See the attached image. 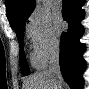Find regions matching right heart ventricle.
<instances>
[{
	"label": "right heart ventricle",
	"mask_w": 89,
	"mask_h": 89,
	"mask_svg": "<svg viewBox=\"0 0 89 89\" xmlns=\"http://www.w3.org/2000/svg\"><path fill=\"white\" fill-rule=\"evenodd\" d=\"M32 63L36 67H42L43 66V64L35 56L32 57Z\"/></svg>",
	"instance_id": "1"
}]
</instances>
